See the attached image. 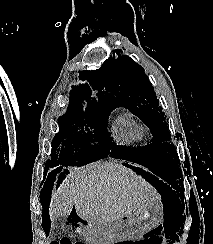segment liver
<instances>
[{
    "mask_svg": "<svg viewBox=\"0 0 213 244\" xmlns=\"http://www.w3.org/2000/svg\"><path fill=\"white\" fill-rule=\"evenodd\" d=\"M69 172L52 191L51 220L67 217L75 207L80 218L109 233L116 229L117 221L138 206L158 199L148 182L122 164L96 162Z\"/></svg>",
    "mask_w": 213,
    "mask_h": 244,
    "instance_id": "obj_1",
    "label": "liver"
}]
</instances>
